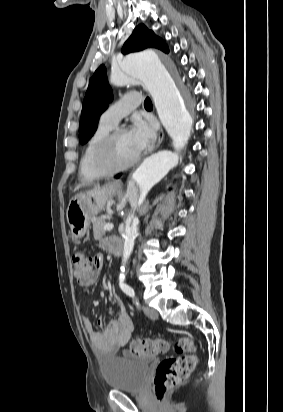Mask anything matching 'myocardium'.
<instances>
[{
  "instance_id": "myocardium-1",
  "label": "myocardium",
  "mask_w": 283,
  "mask_h": 412,
  "mask_svg": "<svg viewBox=\"0 0 283 412\" xmlns=\"http://www.w3.org/2000/svg\"><path fill=\"white\" fill-rule=\"evenodd\" d=\"M126 131L124 128H116L112 130L102 141L101 145L99 146L96 157L95 163L98 169L104 173V175H111L123 170H126L133 165H135L140 160V154H138L134 159L131 161L118 164L114 160V148L115 142L118 135L122 132Z\"/></svg>"
}]
</instances>
